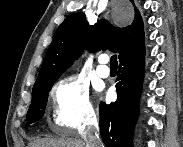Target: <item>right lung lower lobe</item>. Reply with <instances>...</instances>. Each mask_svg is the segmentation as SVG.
Returning <instances> with one entry per match:
<instances>
[{"label":"right lung lower lobe","mask_w":183,"mask_h":147,"mask_svg":"<svg viewBox=\"0 0 183 147\" xmlns=\"http://www.w3.org/2000/svg\"><path fill=\"white\" fill-rule=\"evenodd\" d=\"M144 50L119 60L117 100L100 104V132L107 147H132L144 78Z\"/></svg>","instance_id":"obj_1"}]
</instances>
